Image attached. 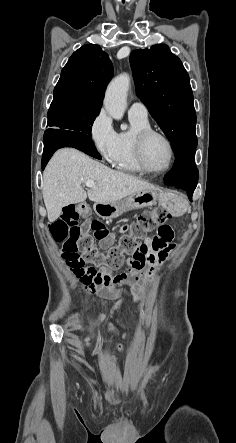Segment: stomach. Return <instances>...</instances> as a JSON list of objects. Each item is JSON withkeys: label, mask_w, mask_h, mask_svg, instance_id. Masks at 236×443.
Wrapping results in <instances>:
<instances>
[{"label": "stomach", "mask_w": 236, "mask_h": 443, "mask_svg": "<svg viewBox=\"0 0 236 443\" xmlns=\"http://www.w3.org/2000/svg\"><path fill=\"white\" fill-rule=\"evenodd\" d=\"M157 201L176 216L182 215L188 206L187 201L174 192L165 191L157 194L155 190H143L114 203H97L94 209L99 216L112 219L131 210L153 206Z\"/></svg>", "instance_id": "0dacf381"}]
</instances>
